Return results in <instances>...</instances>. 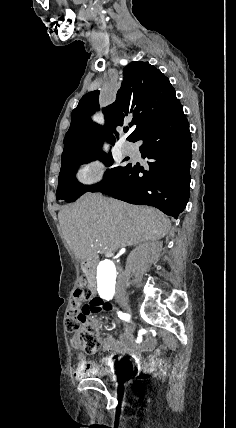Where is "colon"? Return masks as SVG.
<instances>
[{
    "label": "colon",
    "instance_id": "5ec220e1",
    "mask_svg": "<svg viewBox=\"0 0 236 428\" xmlns=\"http://www.w3.org/2000/svg\"><path fill=\"white\" fill-rule=\"evenodd\" d=\"M108 310V305L95 296L87 278H82L72 295L69 313L65 319V329L71 336V344L88 354L98 351L101 337L92 316Z\"/></svg>",
    "mask_w": 236,
    "mask_h": 428
}]
</instances>
